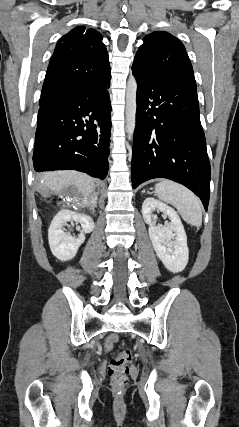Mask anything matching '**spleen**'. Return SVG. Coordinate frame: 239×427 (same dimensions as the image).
Here are the masks:
<instances>
[{
	"mask_svg": "<svg viewBox=\"0 0 239 427\" xmlns=\"http://www.w3.org/2000/svg\"><path fill=\"white\" fill-rule=\"evenodd\" d=\"M155 196L173 205L185 222L196 227L202 225V207L199 198L184 186L169 180L155 185Z\"/></svg>",
	"mask_w": 239,
	"mask_h": 427,
	"instance_id": "obj_1",
	"label": "spleen"
}]
</instances>
